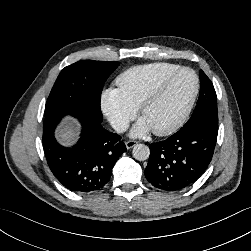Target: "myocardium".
<instances>
[{
	"label": "myocardium",
	"instance_id": "obj_1",
	"mask_svg": "<svg viewBox=\"0 0 251 251\" xmlns=\"http://www.w3.org/2000/svg\"><path fill=\"white\" fill-rule=\"evenodd\" d=\"M184 72H188L194 76L195 86H194L193 93H192L186 107L184 108L183 112L181 113V115L178 117V119L172 125H170L167 128H164V129L152 130L153 133L157 136L171 135V134L175 133L176 131H178L187 121V119L193 109V106L196 102V99L198 97L199 90H200V80H199L197 73L190 68L180 67L179 69L166 75L164 78H162L158 83H156L152 87V89L147 93V95L144 97V99L142 100V102L140 103V105L138 107L139 115L142 117L144 111L159 98V96L162 94V92L168 86V84L177 75L184 73Z\"/></svg>",
	"mask_w": 251,
	"mask_h": 251
}]
</instances>
